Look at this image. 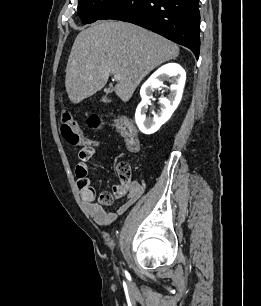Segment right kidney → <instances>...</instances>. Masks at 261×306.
I'll return each instance as SVG.
<instances>
[{"instance_id":"obj_1","label":"right kidney","mask_w":261,"mask_h":306,"mask_svg":"<svg viewBox=\"0 0 261 306\" xmlns=\"http://www.w3.org/2000/svg\"><path fill=\"white\" fill-rule=\"evenodd\" d=\"M162 80L171 81L172 84L170 86V94L168 97L161 96L159 98V102L162 104L161 109L154 115L153 118H147L145 114L147 104L154 89L163 86ZM185 81V70L177 63H168L155 71L143 84L140 90L142 101L138 105L135 113L136 124L142 133H155L170 119L181 101Z\"/></svg>"}]
</instances>
